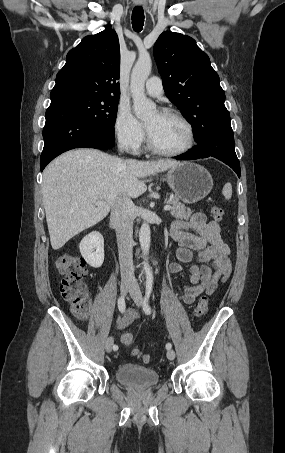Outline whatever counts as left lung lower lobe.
Wrapping results in <instances>:
<instances>
[{
  "label": "left lung lower lobe",
  "mask_w": 285,
  "mask_h": 453,
  "mask_svg": "<svg viewBox=\"0 0 285 453\" xmlns=\"http://www.w3.org/2000/svg\"><path fill=\"white\" fill-rule=\"evenodd\" d=\"M215 157L230 166L240 177V163L234 149L233 133H215L207 136L192 150L174 157L178 160H193L198 158Z\"/></svg>",
  "instance_id": "1"
}]
</instances>
